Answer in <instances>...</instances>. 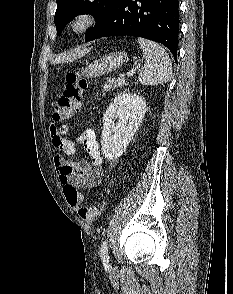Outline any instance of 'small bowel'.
<instances>
[{"instance_id": "obj_1", "label": "small bowel", "mask_w": 233, "mask_h": 294, "mask_svg": "<svg viewBox=\"0 0 233 294\" xmlns=\"http://www.w3.org/2000/svg\"><path fill=\"white\" fill-rule=\"evenodd\" d=\"M56 120V119H55ZM63 128H70V123H63ZM53 146L64 155H70L75 150V143L64 138L57 129L51 127ZM77 142L81 143L87 151L89 161H74L66 159L63 155L54 157L59 179L64 186H72L76 189H89L98 186L101 182L103 168L102 155L95 133L92 129H85L78 137Z\"/></svg>"}]
</instances>
